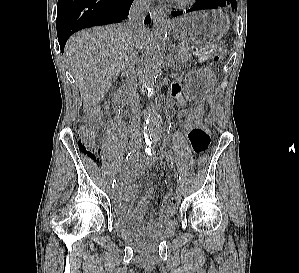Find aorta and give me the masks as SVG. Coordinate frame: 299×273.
I'll return each instance as SVG.
<instances>
[{"instance_id": "obj_1", "label": "aorta", "mask_w": 299, "mask_h": 273, "mask_svg": "<svg viewBox=\"0 0 299 273\" xmlns=\"http://www.w3.org/2000/svg\"><path fill=\"white\" fill-rule=\"evenodd\" d=\"M166 27L156 25L151 34L150 42L144 53L143 81L147 85H153L161 74V65L166 47ZM161 131V119L156 112H151L144 123V133L147 140L154 138Z\"/></svg>"}]
</instances>
